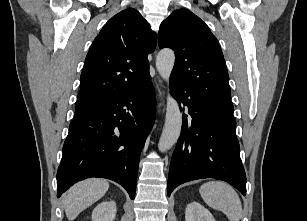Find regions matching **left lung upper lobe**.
<instances>
[{"instance_id":"1","label":"left lung upper lobe","mask_w":307,"mask_h":221,"mask_svg":"<svg viewBox=\"0 0 307 221\" xmlns=\"http://www.w3.org/2000/svg\"><path fill=\"white\" fill-rule=\"evenodd\" d=\"M160 48L175 52L171 77L197 98L233 116L228 71L223 53L209 27L188 9L164 20L158 33Z\"/></svg>"}]
</instances>
